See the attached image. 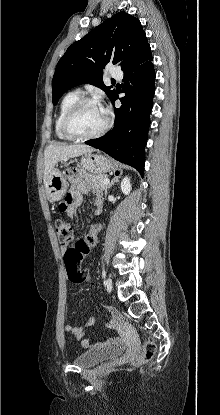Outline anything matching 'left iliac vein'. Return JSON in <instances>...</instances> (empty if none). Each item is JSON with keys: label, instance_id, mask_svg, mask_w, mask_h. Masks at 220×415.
Returning <instances> with one entry per match:
<instances>
[{"label": "left iliac vein", "instance_id": "1", "mask_svg": "<svg viewBox=\"0 0 220 415\" xmlns=\"http://www.w3.org/2000/svg\"><path fill=\"white\" fill-rule=\"evenodd\" d=\"M105 287H106V290L108 292H111L112 287H113V282H112V279L111 278H107L106 279V281H105Z\"/></svg>", "mask_w": 220, "mask_h": 415}]
</instances>
